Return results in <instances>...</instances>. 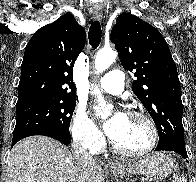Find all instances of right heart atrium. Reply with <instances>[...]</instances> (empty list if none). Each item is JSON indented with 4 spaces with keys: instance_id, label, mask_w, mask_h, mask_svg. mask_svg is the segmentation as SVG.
<instances>
[{
    "instance_id": "obj_1",
    "label": "right heart atrium",
    "mask_w": 196,
    "mask_h": 182,
    "mask_svg": "<svg viewBox=\"0 0 196 182\" xmlns=\"http://www.w3.org/2000/svg\"><path fill=\"white\" fill-rule=\"evenodd\" d=\"M71 134L77 144L89 151H98L104 145L102 132L92 117L82 107L78 108L74 115Z\"/></svg>"
}]
</instances>
